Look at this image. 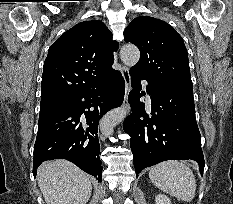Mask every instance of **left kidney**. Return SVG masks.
Masks as SVG:
<instances>
[{
    "mask_svg": "<svg viewBox=\"0 0 233 204\" xmlns=\"http://www.w3.org/2000/svg\"><path fill=\"white\" fill-rule=\"evenodd\" d=\"M156 204H171L170 199L164 194H158L155 197Z\"/></svg>",
    "mask_w": 233,
    "mask_h": 204,
    "instance_id": "left-kidney-1",
    "label": "left kidney"
}]
</instances>
